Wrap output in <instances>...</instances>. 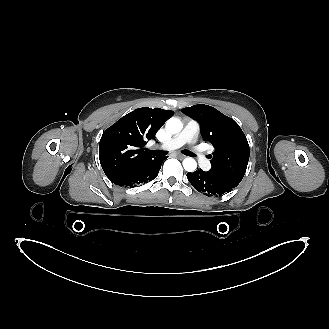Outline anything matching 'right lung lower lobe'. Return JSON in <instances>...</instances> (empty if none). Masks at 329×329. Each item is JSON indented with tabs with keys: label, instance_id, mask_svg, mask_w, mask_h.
Returning a JSON list of instances; mask_svg holds the SVG:
<instances>
[{
	"label": "right lung lower lobe",
	"instance_id": "obj_1",
	"mask_svg": "<svg viewBox=\"0 0 329 329\" xmlns=\"http://www.w3.org/2000/svg\"><path fill=\"white\" fill-rule=\"evenodd\" d=\"M166 157H155L142 164L140 167L134 171L120 176L110 181L120 187H135L141 184H145L153 180L159 173L161 165Z\"/></svg>",
	"mask_w": 329,
	"mask_h": 329
}]
</instances>
